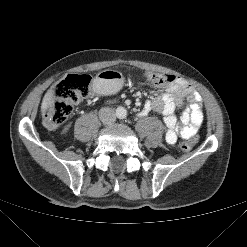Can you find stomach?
I'll use <instances>...</instances> for the list:
<instances>
[{
	"mask_svg": "<svg viewBox=\"0 0 247 247\" xmlns=\"http://www.w3.org/2000/svg\"><path fill=\"white\" fill-rule=\"evenodd\" d=\"M123 85V76L114 70H104L97 74L95 86L100 93H114Z\"/></svg>",
	"mask_w": 247,
	"mask_h": 247,
	"instance_id": "0dacf381",
	"label": "stomach"
}]
</instances>
